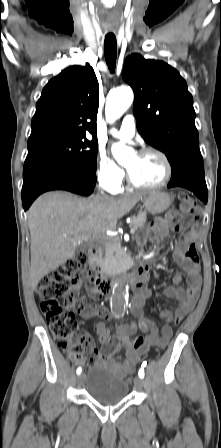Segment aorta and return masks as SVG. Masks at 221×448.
Instances as JSON below:
<instances>
[{
    "label": "aorta",
    "instance_id": "1",
    "mask_svg": "<svg viewBox=\"0 0 221 448\" xmlns=\"http://www.w3.org/2000/svg\"><path fill=\"white\" fill-rule=\"evenodd\" d=\"M133 91L128 86H122L114 90L107 100L106 117L109 122L118 119L132 104ZM113 157L119 164H124L130 154V148L123 143H115L111 147Z\"/></svg>",
    "mask_w": 221,
    "mask_h": 448
}]
</instances>
